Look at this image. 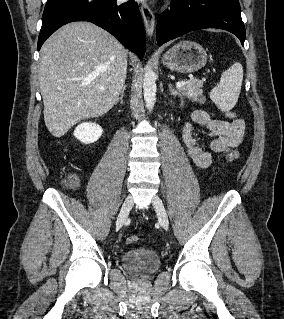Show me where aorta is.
Returning <instances> with one entry per match:
<instances>
[{"label":"aorta","mask_w":284,"mask_h":319,"mask_svg":"<svg viewBox=\"0 0 284 319\" xmlns=\"http://www.w3.org/2000/svg\"><path fill=\"white\" fill-rule=\"evenodd\" d=\"M144 101L147 109H153L156 102V74L150 65H146L143 81Z\"/></svg>","instance_id":"obj_1"}]
</instances>
